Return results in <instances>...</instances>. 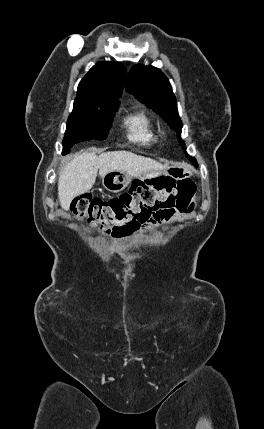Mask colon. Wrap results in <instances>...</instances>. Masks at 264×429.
Here are the masks:
<instances>
[{"label":"colon","instance_id":"obj_1","mask_svg":"<svg viewBox=\"0 0 264 429\" xmlns=\"http://www.w3.org/2000/svg\"><path fill=\"white\" fill-rule=\"evenodd\" d=\"M195 196L196 188L190 181H136L127 192L109 200L81 195L74 199L72 212L76 219L105 233L126 235L155 215L190 213Z\"/></svg>","mask_w":264,"mask_h":429}]
</instances>
